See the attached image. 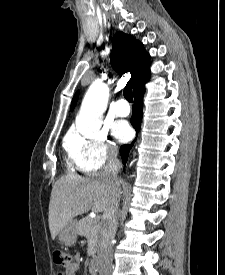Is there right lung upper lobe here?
Here are the masks:
<instances>
[{
	"label": "right lung upper lobe",
	"mask_w": 225,
	"mask_h": 275,
	"mask_svg": "<svg viewBox=\"0 0 225 275\" xmlns=\"http://www.w3.org/2000/svg\"><path fill=\"white\" fill-rule=\"evenodd\" d=\"M112 67L120 73H131L128 84L133 88V94L142 87L150 75V55L143 49V44L131 35L118 32L112 39V52L110 54ZM79 92L75 94L71 103L74 109Z\"/></svg>",
	"instance_id": "1"
}]
</instances>
